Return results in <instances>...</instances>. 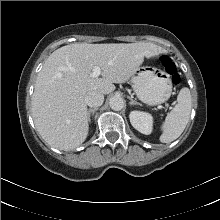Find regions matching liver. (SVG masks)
<instances>
[{
  "mask_svg": "<svg viewBox=\"0 0 220 220\" xmlns=\"http://www.w3.org/2000/svg\"><path fill=\"white\" fill-rule=\"evenodd\" d=\"M167 51L153 43H74L55 50L39 72L32 96V117L45 142L60 150L81 145L89 124L85 97L90 91L109 94L124 83L144 58ZM95 66L101 78L91 77Z\"/></svg>",
  "mask_w": 220,
  "mask_h": 220,
  "instance_id": "6515ba94",
  "label": "liver"
}]
</instances>
